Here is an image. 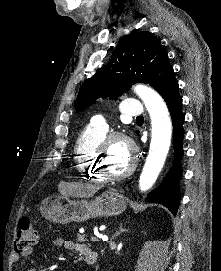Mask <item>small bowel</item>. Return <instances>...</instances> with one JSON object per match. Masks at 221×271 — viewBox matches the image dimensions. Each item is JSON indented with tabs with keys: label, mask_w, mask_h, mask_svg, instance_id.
Returning a JSON list of instances; mask_svg holds the SVG:
<instances>
[{
	"label": "small bowel",
	"mask_w": 221,
	"mask_h": 271,
	"mask_svg": "<svg viewBox=\"0 0 221 271\" xmlns=\"http://www.w3.org/2000/svg\"><path fill=\"white\" fill-rule=\"evenodd\" d=\"M54 245L56 247H63L66 250L70 252H74L77 254H80L82 256L86 257H95L97 259L98 255L95 251L91 250L86 244L79 242V241H73V240H66L62 237H58L54 239L53 241ZM33 253V248L29 247L23 251H15L11 255V262L16 263L20 259L21 256L23 257H29Z\"/></svg>",
	"instance_id": "small-bowel-1"
}]
</instances>
